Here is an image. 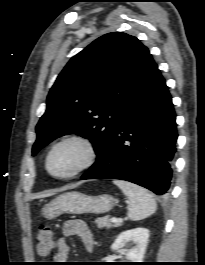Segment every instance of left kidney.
Listing matches in <instances>:
<instances>
[{
    "instance_id": "left-kidney-1",
    "label": "left kidney",
    "mask_w": 205,
    "mask_h": 265,
    "mask_svg": "<svg viewBox=\"0 0 205 265\" xmlns=\"http://www.w3.org/2000/svg\"><path fill=\"white\" fill-rule=\"evenodd\" d=\"M149 238L146 228H134L120 233L111 246L112 250H119L125 243L133 245L127 250L126 256L132 262H142Z\"/></svg>"
}]
</instances>
